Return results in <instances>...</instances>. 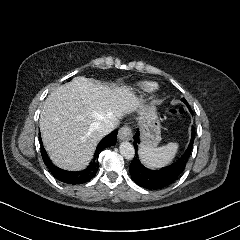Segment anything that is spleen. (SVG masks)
I'll return each instance as SVG.
<instances>
[{
    "instance_id": "spleen-1",
    "label": "spleen",
    "mask_w": 240,
    "mask_h": 240,
    "mask_svg": "<svg viewBox=\"0 0 240 240\" xmlns=\"http://www.w3.org/2000/svg\"><path fill=\"white\" fill-rule=\"evenodd\" d=\"M180 149L178 142L169 143L161 148H149L140 145L138 147V159L147 169L159 170L173 163Z\"/></svg>"
}]
</instances>
